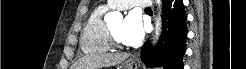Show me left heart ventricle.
Masks as SVG:
<instances>
[{
  "label": "left heart ventricle",
  "instance_id": "1",
  "mask_svg": "<svg viewBox=\"0 0 246 69\" xmlns=\"http://www.w3.org/2000/svg\"><path fill=\"white\" fill-rule=\"evenodd\" d=\"M111 31L113 32V34L115 35V37L120 41H122V37H121V30H122V23H117L113 26L110 27Z\"/></svg>",
  "mask_w": 246,
  "mask_h": 69
}]
</instances>
